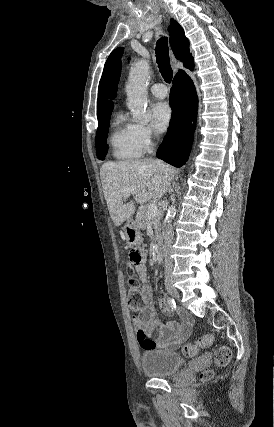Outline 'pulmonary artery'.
<instances>
[{"instance_id": "1", "label": "pulmonary artery", "mask_w": 274, "mask_h": 427, "mask_svg": "<svg viewBox=\"0 0 274 427\" xmlns=\"http://www.w3.org/2000/svg\"><path fill=\"white\" fill-rule=\"evenodd\" d=\"M151 93L158 98H165L168 95V89L164 84L156 83L150 87Z\"/></svg>"}]
</instances>
